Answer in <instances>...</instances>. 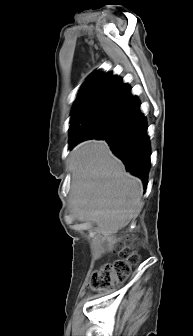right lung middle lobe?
Listing matches in <instances>:
<instances>
[{
    "label": "right lung middle lobe",
    "instance_id": "right-lung-middle-lobe-1",
    "mask_svg": "<svg viewBox=\"0 0 193 336\" xmlns=\"http://www.w3.org/2000/svg\"><path fill=\"white\" fill-rule=\"evenodd\" d=\"M112 109L101 112L96 118L88 121H81L78 125L70 128V135H83L85 139H92L101 132L110 117Z\"/></svg>",
    "mask_w": 193,
    "mask_h": 336
}]
</instances>
